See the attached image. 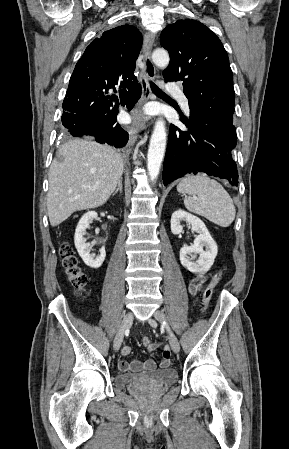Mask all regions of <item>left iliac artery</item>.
Wrapping results in <instances>:
<instances>
[{
    "mask_svg": "<svg viewBox=\"0 0 289 449\" xmlns=\"http://www.w3.org/2000/svg\"><path fill=\"white\" fill-rule=\"evenodd\" d=\"M163 325H166V322H163Z\"/></svg>",
    "mask_w": 289,
    "mask_h": 449,
    "instance_id": "44dca946",
    "label": "left iliac artery"
}]
</instances>
